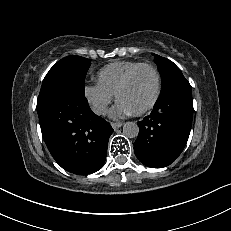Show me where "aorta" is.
<instances>
[{
    "label": "aorta",
    "instance_id": "aorta-1",
    "mask_svg": "<svg viewBox=\"0 0 231 231\" xmlns=\"http://www.w3.org/2000/svg\"><path fill=\"white\" fill-rule=\"evenodd\" d=\"M123 134L128 138H135L139 134V127L135 122H126L123 126Z\"/></svg>",
    "mask_w": 231,
    "mask_h": 231
}]
</instances>
